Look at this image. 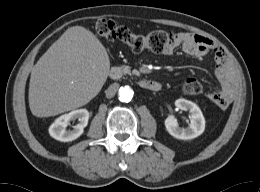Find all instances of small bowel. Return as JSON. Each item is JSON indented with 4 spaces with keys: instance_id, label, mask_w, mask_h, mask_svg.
<instances>
[{
    "instance_id": "c3829d8e",
    "label": "small bowel",
    "mask_w": 260,
    "mask_h": 192,
    "mask_svg": "<svg viewBox=\"0 0 260 192\" xmlns=\"http://www.w3.org/2000/svg\"><path fill=\"white\" fill-rule=\"evenodd\" d=\"M179 47L194 57H204L210 52L214 54L220 89L218 92H209L207 96L219 107H228L236 96L237 83L233 69L221 47L201 35L182 32L177 34L175 41L163 51V54L171 55Z\"/></svg>"
}]
</instances>
